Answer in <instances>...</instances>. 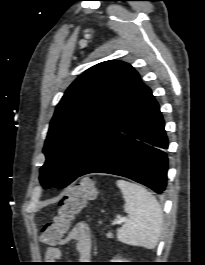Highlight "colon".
<instances>
[{
  "label": "colon",
  "mask_w": 205,
  "mask_h": 265,
  "mask_svg": "<svg viewBox=\"0 0 205 265\" xmlns=\"http://www.w3.org/2000/svg\"><path fill=\"white\" fill-rule=\"evenodd\" d=\"M96 197L94 180L90 177L84 178L69 189L63 197L57 214L54 218L44 224L40 232V240L46 245H58L63 235L68 230L71 222L90 200Z\"/></svg>",
  "instance_id": "1"
}]
</instances>
